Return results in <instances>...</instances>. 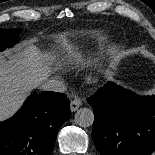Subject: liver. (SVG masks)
I'll return each instance as SVG.
<instances>
[{
    "instance_id": "obj_1",
    "label": "liver",
    "mask_w": 155,
    "mask_h": 155,
    "mask_svg": "<svg viewBox=\"0 0 155 155\" xmlns=\"http://www.w3.org/2000/svg\"><path fill=\"white\" fill-rule=\"evenodd\" d=\"M57 42L70 58L82 61L78 47L73 46L65 36H59ZM47 58L33 44L9 54L7 59L0 57V121L17 112L28 91L42 85L51 75L54 69L50 63H45Z\"/></svg>"
}]
</instances>
